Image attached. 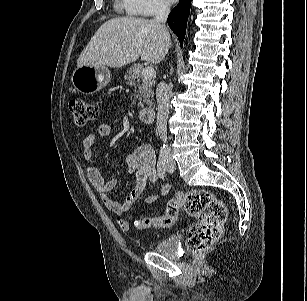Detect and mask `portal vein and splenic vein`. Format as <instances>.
Instances as JSON below:
<instances>
[{
  "label": "portal vein and splenic vein",
  "instance_id": "1",
  "mask_svg": "<svg viewBox=\"0 0 307 301\" xmlns=\"http://www.w3.org/2000/svg\"><path fill=\"white\" fill-rule=\"evenodd\" d=\"M154 69L153 67H146L142 70V75L145 77V78H150V77H153L154 76Z\"/></svg>",
  "mask_w": 307,
  "mask_h": 301
}]
</instances>
